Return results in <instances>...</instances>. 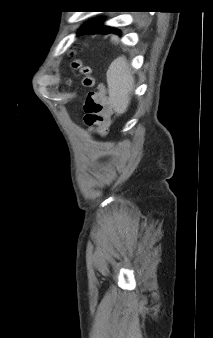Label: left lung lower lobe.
<instances>
[{
	"mask_svg": "<svg viewBox=\"0 0 213 338\" xmlns=\"http://www.w3.org/2000/svg\"><path fill=\"white\" fill-rule=\"evenodd\" d=\"M102 20L93 21L90 24H86L84 27H82L79 31V34H109V33H118L120 34V31L115 28H110L107 26L101 25Z\"/></svg>",
	"mask_w": 213,
	"mask_h": 338,
	"instance_id": "left-lung-lower-lobe-1",
	"label": "left lung lower lobe"
}]
</instances>
